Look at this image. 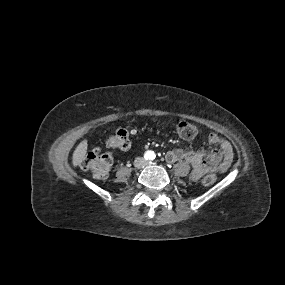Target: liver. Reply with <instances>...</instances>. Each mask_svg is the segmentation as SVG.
<instances>
[{"mask_svg":"<svg viewBox=\"0 0 285 285\" xmlns=\"http://www.w3.org/2000/svg\"><path fill=\"white\" fill-rule=\"evenodd\" d=\"M87 140L82 141L75 149L72 156V164L74 167L80 165L84 159L87 152Z\"/></svg>","mask_w":285,"mask_h":285,"instance_id":"6515ba94","label":"liver"}]
</instances>
